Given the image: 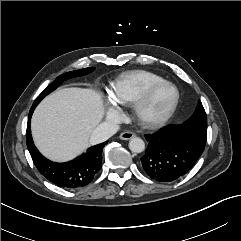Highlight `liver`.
I'll use <instances>...</instances> for the list:
<instances>
[{
  "label": "liver",
  "instance_id": "1",
  "mask_svg": "<svg viewBox=\"0 0 241 241\" xmlns=\"http://www.w3.org/2000/svg\"><path fill=\"white\" fill-rule=\"evenodd\" d=\"M104 115L101 96L91 89L65 88L42 100L32 116L34 142L53 161H69L89 146Z\"/></svg>",
  "mask_w": 241,
  "mask_h": 241
}]
</instances>
